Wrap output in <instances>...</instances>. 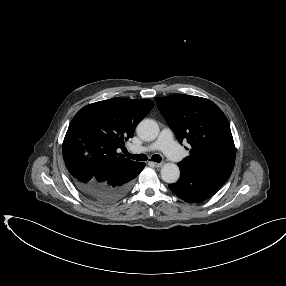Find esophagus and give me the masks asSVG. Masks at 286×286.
Listing matches in <instances>:
<instances>
[{
	"label": "esophagus",
	"instance_id": "1",
	"mask_svg": "<svg viewBox=\"0 0 286 286\" xmlns=\"http://www.w3.org/2000/svg\"><path fill=\"white\" fill-rule=\"evenodd\" d=\"M153 164L155 165V167H162L163 163H157V162H153Z\"/></svg>",
	"mask_w": 286,
	"mask_h": 286
}]
</instances>
